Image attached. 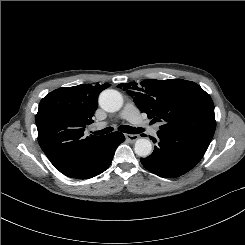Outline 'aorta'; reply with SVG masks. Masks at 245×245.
<instances>
[{
	"label": "aorta",
	"mask_w": 245,
	"mask_h": 245,
	"mask_svg": "<svg viewBox=\"0 0 245 245\" xmlns=\"http://www.w3.org/2000/svg\"><path fill=\"white\" fill-rule=\"evenodd\" d=\"M100 107L107 112H117L122 108V95L114 89H106L99 96ZM134 151L138 156L147 157L152 151V144L148 139L140 138L135 142Z\"/></svg>",
	"instance_id": "obj_1"
}]
</instances>
